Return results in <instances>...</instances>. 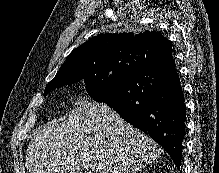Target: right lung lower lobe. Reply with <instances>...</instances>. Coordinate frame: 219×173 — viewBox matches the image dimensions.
Wrapping results in <instances>:
<instances>
[{
  "label": "right lung lower lobe",
  "mask_w": 219,
  "mask_h": 173,
  "mask_svg": "<svg viewBox=\"0 0 219 173\" xmlns=\"http://www.w3.org/2000/svg\"><path fill=\"white\" fill-rule=\"evenodd\" d=\"M184 102L173 58L139 64L121 79L105 101L124 120L161 145L178 169L185 135Z\"/></svg>",
  "instance_id": "98d812e1"
}]
</instances>
